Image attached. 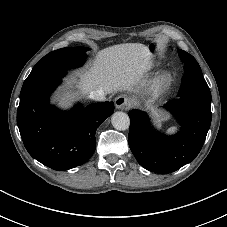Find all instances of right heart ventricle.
Returning <instances> with one entry per match:
<instances>
[{
    "mask_svg": "<svg viewBox=\"0 0 227 227\" xmlns=\"http://www.w3.org/2000/svg\"><path fill=\"white\" fill-rule=\"evenodd\" d=\"M156 65H149L146 69L147 70H153L155 69Z\"/></svg>",
    "mask_w": 227,
    "mask_h": 227,
    "instance_id": "e07e8e85",
    "label": "right heart ventricle"
}]
</instances>
